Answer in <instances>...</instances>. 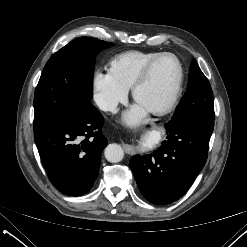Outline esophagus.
Listing matches in <instances>:
<instances>
[{
    "mask_svg": "<svg viewBox=\"0 0 247 247\" xmlns=\"http://www.w3.org/2000/svg\"><path fill=\"white\" fill-rule=\"evenodd\" d=\"M124 149H125V152L128 153V154L132 153V151H133V150H132L129 146H127V145L124 146Z\"/></svg>",
    "mask_w": 247,
    "mask_h": 247,
    "instance_id": "esophagus-1",
    "label": "esophagus"
}]
</instances>
